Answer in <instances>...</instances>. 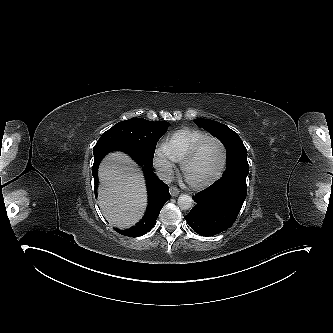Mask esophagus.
I'll return each instance as SVG.
<instances>
[{"label": "esophagus", "instance_id": "esophagus-1", "mask_svg": "<svg viewBox=\"0 0 333 333\" xmlns=\"http://www.w3.org/2000/svg\"><path fill=\"white\" fill-rule=\"evenodd\" d=\"M179 189L177 187L171 186L170 187V194L173 197H176L179 194Z\"/></svg>", "mask_w": 333, "mask_h": 333}]
</instances>
